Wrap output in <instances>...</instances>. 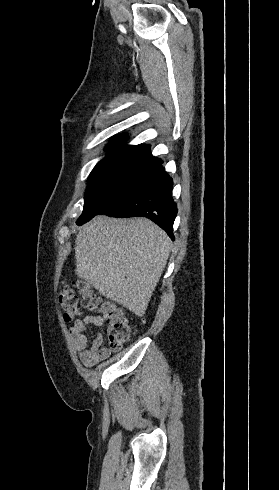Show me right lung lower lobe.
<instances>
[{
	"mask_svg": "<svg viewBox=\"0 0 279 490\" xmlns=\"http://www.w3.org/2000/svg\"><path fill=\"white\" fill-rule=\"evenodd\" d=\"M172 186V178L161 165V169L151 178L126 186L109 196L99 214L121 218L147 217L174 240L172 228L178 210L172 198Z\"/></svg>",
	"mask_w": 279,
	"mask_h": 490,
	"instance_id": "1",
	"label": "right lung lower lobe"
}]
</instances>
